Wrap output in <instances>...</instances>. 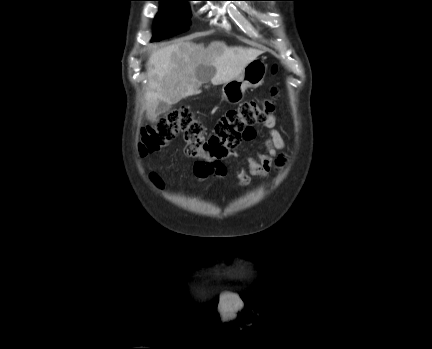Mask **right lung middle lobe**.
Masks as SVG:
<instances>
[{
  "label": "right lung middle lobe",
  "instance_id": "1",
  "mask_svg": "<svg viewBox=\"0 0 432 349\" xmlns=\"http://www.w3.org/2000/svg\"><path fill=\"white\" fill-rule=\"evenodd\" d=\"M158 1L161 2V7L155 18V35L152 41H160L189 29L191 16L188 7L184 3L188 0Z\"/></svg>",
  "mask_w": 432,
  "mask_h": 349
}]
</instances>
